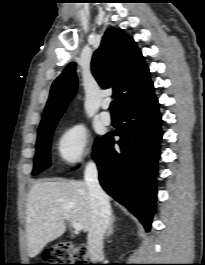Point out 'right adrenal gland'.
<instances>
[{"label":"right adrenal gland","instance_id":"right-adrenal-gland-1","mask_svg":"<svg viewBox=\"0 0 205 265\" xmlns=\"http://www.w3.org/2000/svg\"><path fill=\"white\" fill-rule=\"evenodd\" d=\"M114 221H115V217L112 215L111 222H110V225H109L108 230L106 232L105 238H108L113 234V232H114V229H113Z\"/></svg>","mask_w":205,"mask_h":265}]
</instances>
